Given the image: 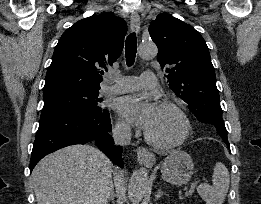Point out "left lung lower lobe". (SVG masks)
I'll list each match as a JSON object with an SVG mask.
<instances>
[{"label": "left lung lower lobe", "mask_w": 261, "mask_h": 204, "mask_svg": "<svg viewBox=\"0 0 261 204\" xmlns=\"http://www.w3.org/2000/svg\"><path fill=\"white\" fill-rule=\"evenodd\" d=\"M222 139H223V141L227 144V146H229V143H228V141H227V138L224 137V138H222Z\"/></svg>", "instance_id": "1"}]
</instances>
